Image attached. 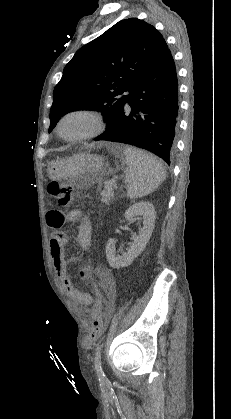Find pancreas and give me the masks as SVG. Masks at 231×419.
<instances>
[{
  "label": "pancreas",
  "instance_id": "obj_1",
  "mask_svg": "<svg viewBox=\"0 0 231 419\" xmlns=\"http://www.w3.org/2000/svg\"><path fill=\"white\" fill-rule=\"evenodd\" d=\"M101 196H102V199H101L102 202L105 204H109L111 199L114 197L113 189L105 187V189L101 192Z\"/></svg>",
  "mask_w": 231,
  "mask_h": 419
}]
</instances>
